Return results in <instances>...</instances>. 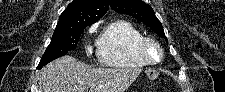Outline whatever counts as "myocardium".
I'll list each match as a JSON object with an SVG mask.
<instances>
[{
    "mask_svg": "<svg viewBox=\"0 0 225 92\" xmlns=\"http://www.w3.org/2000/svg\"><path fill=\"white\" fill-rule=\"evenodd\" d=\"M151 48L155 49L156 51V56L154 58L150 57L149 55V50ZM138 50L142 59L147 65H157L163 59V48L160 43L153 38L144 37L138 45Z\"/></svg>",
    "mask_w": 225,
    "mask_h": 92,
    "instance_id": "myocardium-1",
    "label": "myocardium"
}]
</instances>
